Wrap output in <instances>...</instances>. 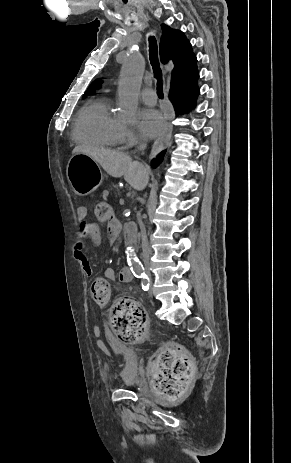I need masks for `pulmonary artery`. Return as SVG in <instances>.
Returning a JSON list of instances; mask_svg holds the SVG:
<instances>
[{
	"label": "pulmonary artery",
	"instance_id": "pulmonary-artery-1",
	"mask_svg": "<svg viewBox=\"0 0 291 463\" xmlns=\"http://www.w3.org/2000/svg\"><path fill=\"white\" fill-rule=\"evenodd\" d=\"M142 101L147 105H155L157 102V94L151 87H145L140 93Z\"/></svg>",
	"mask_w": 291,
	"mask_h": 463
}]
</instances>
